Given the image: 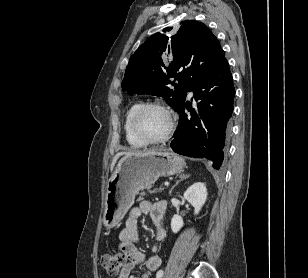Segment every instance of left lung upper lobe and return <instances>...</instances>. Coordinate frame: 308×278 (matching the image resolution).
<instances>
[{
    "instance_id": "left-lung-upper-lobe-1",
    "label": "left lung upper lobe",
    "mask_w": 308,
    "mask_h": 278,
    "mask_svg": "<svg viewBox=\"0 0 308 278\" xmlns=\"http://www.w3.org/2000/svg\"><path fill=\"white\" fill-rule=\"evenodd\" d=\"M172 27L163 29V32ZM225 58L218 39L201 22L186 20L172 33H156L131 56L122 81L129 95L161 96L177 110L186 92ZM173 78L179 83L175 84ZM173 85L175 90L170 89Z\"/></svg>"
}]
</instances>
